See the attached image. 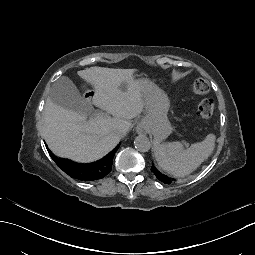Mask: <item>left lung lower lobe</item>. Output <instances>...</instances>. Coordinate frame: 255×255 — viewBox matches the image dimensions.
I'll return each instance as SVG.
<instances>
[{
	"label": "left lung lower lobe",
	"instance_id": "1",
	"mask_svg": "<svg viewBox=\"0 0 255 255\" xmlns=\"http://www.w3.org/2000/svg\"><path fill=\"white\" fill-rule=\"evenodd\" d=\"M148 170L150 171L151 175L155 177L157 180H161L167 185H172L174 183V180L172 178H169L166 175L159 173L158 170L153 165H150L148 167Z\"/></svg>",
	"mask_w": 255,
	"mask_h": 255
}]
</instances>
